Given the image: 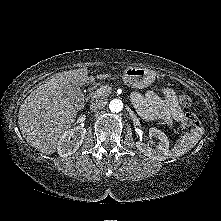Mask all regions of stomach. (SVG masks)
<instances>
[{"mask_svg":"<svg viewBox=\"0 0 221 221\" xmlns=\"http://www.w3.org/2000/svg\"><path fill=\"white\" fill-rule=\"evenodd\" d=\"M126 85L134 88H145L150 86L155 80V73L146 68L128 67L123 76Z\"/></svg>","mask_w":221,"mask_h":221,"instance_id":"1","label":"stomach"}]
</instances>
